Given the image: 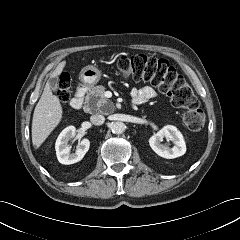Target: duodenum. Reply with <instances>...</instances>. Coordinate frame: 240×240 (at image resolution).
<instances>
[{"instance_id":"1","label":"duodenum","mask_w":240,"mask_h":240,"mask_svg":"<svg viewBox=\"0 0 240 240\" xmlns=\"http://www.w3.org/2000/svg\"><path fill=\"white\" fill-rule=\"evenodd\" d=\"M85 93L86 87L80 86L77 88L76 94L70 102V106L73 110H79L82 107Z\"/></svg>"}]
</instances>
